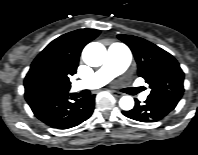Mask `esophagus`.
Returning <instances> with one entry per match:
<instances>
[{
    "label": "esophagus",
    "instance_id": "1",
    "mask_svg": "<svg viewBox=\"0 0 198 155\" xmlns=\"http://www.w3.org/2000/svg\"><path fill=\"white\" fill-rule=\"evenodd\" d=\"M112 94L114 95V96H116V97H121V96H123V93H121V92H118V91H112Z\"/></svg>",
    "mask_w": 198,
    "mask_h": 155
}]
</instances>
